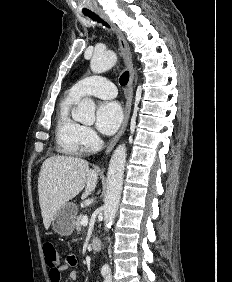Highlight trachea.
<instances>
[{
	"label": "trachea",
	"mask_w": 232,
	"mask_h": 282,
	"mask_svg": "<svg viewBox=\"0 0 232 282\" xmlns=\"http://www.w3.org/2000/svg\"><path fill=\"white\" fill-rule=\"evenodd\" d=\"M84 15L88 16L89 18H91L92 20H95L99 23H102L104 26L106 27H109V25L104 21L102 20L100 17H98L96 14L90 12V13H84ZM129 81V72L128 71H125L122 73V75L120 76L119 78V83L124 86L128 83Z\"/></svg>",
	"instance_id": "1"
}]
</instances>
